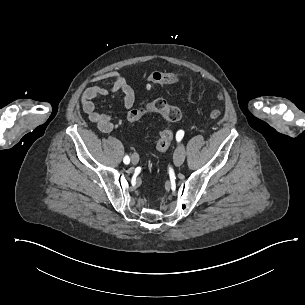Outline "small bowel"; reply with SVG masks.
Instances as JSON below:
<instances>
[{
    "label": "small bowel",
    "instance_id": "1",
    "mask_svg": "<svg viewBox=\"0 0 305 305\" xmlns=\"http://www.w3.org/2000/svg\"><path fill=\"white\" fill-rule=\"evenodd\" d=\"M95 80H110L113 85V91L122 95V104L125 111H130L135 105L136 96L133 88L127 83L122 73L118 71H109L98 75ZM108 94L104 87L94 86L87 89L81 97V107L87 115L90 122L103 133L111 132L115 123L113 118L106 114L96 111L95 100Z\"/></svg>",
    "mask_w": 305,
    "mask_h": 305
}]
</instances>
